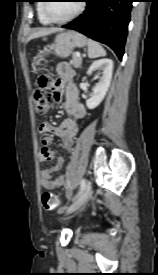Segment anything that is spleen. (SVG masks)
Listing matches in <instances>:
<instances>
[{"label":"spleen","instance_id":"3e777b00","mask_svg":"<svg viewBox=\"0 0 158 275\" xmlns=\"http://www.w3.org/2000/svg\"><path fill=\"white\" fill-rule=\"evenodd\" d=\"M88 56L91 59L102 57L106 55L104 48L96 41L87 39Z\"/></svg>","mask_w":158,"mask_h":275}]
</instances>
